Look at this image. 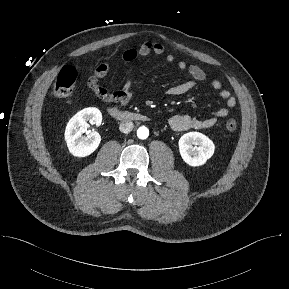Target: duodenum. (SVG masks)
<instances>
[{"instance_id": "obj_1", "label": "duodenum", "mask_w": 289, "mask_h": 289, "mask_svg": "<svg viewBox=\"0 0 289 289\" xmlns=\"http://www.w3.org/2000/svg\"><path fill=\"white\" fill-rule=\"evenodd\" d=\"M108 113L112 117L118 120H122V121H146L148 120V118L143 114L121 111L118 108H114V107L109 108Z\"/></svg>"}]
</instances>
